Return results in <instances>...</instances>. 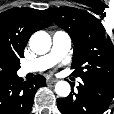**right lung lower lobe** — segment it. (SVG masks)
Returning <instances> with one entry per match:
<instances>
[{"instance_id":"right-lung-lower-lobe-1","label":"right lung lower lobe","mask_w":114,"mask_h":114,"mask_svg":"<svg viewBox=\"0 0 114 114\" xmlns=\"http://www.w3.org/2000/svg\"><path fill=\"white\" fill-rule=\"evenodd\" d=\"M45 85L46 79L41 75L23 81L16 74L0 82V114H29L36 91Z\"/></svg>"}]
</instances>
